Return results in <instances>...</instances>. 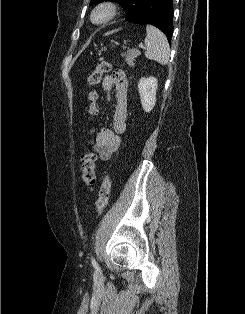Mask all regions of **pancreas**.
Instances as JSON below:
<instances>
[{"instance_id":"pancreas-1","label":"pancreas","mask_w":245,"mask_h":314,"mask_svg":"<svg viewBox=\"0 0 245 314\" xmlns=\"http://www.w3.org/2000/svg\"><path fill=\"white\" fill-rule=\"evenodd\" d=\"M140 55V52L135 49H131L125 55V61L130 67H134L135 58Z\"/></svg>"}]
</instances>
